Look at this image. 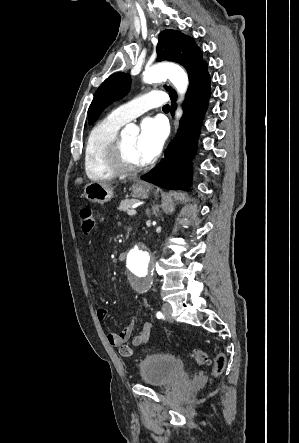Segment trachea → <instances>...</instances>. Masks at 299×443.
I'll use <instances>...</instances> for the list:
<instances>
[{
	"instance_id": "1",
	"label": "trachea",
	"mask_w": 299,
	"mask_h": 443,
	"mask_svg": "<svg viewBox=\"0 0 299 443\" xmlns=\"http://www.w3.org/2000/svg\"><path fill=\"white\" fill-rule=\"evenodd\" d=\"M163 109H164V110H169V109H170V106H169V105H165V106H163Z\"/></svg>"
}]
</instances>
